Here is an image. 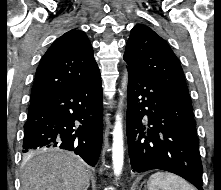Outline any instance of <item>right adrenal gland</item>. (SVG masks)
Wrapping results in <instances>:
<instances>
[{
	"mask_svg": "<svg viewBox=\"0 0 221 190\" xmlns=\"http://www.w3.org/2000/svg\"><path fill=\"white\" fill-rule=\"evenodd\" d=\"M89 186H90V183L86 186L84 190H88Z\"/></svg>",
	"mask_w": 221,
	"mask_h": 190,
	"instance_id": "right-adrenal-gland-1",
	"label": "right adrenal gland"
}]
</instances>
